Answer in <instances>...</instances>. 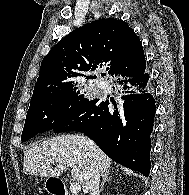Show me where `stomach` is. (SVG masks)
Instances as JSON below:
<instances>
[{
  "label": "stomach",
  "mask_w": 189,
  "mask_h": 195,
  "mask_svg": "<svg viewBox=\"0 0 189 195\" xmlns=\"http://www.w3.org/2000/svg\"><path fill=\"white\" fill-rule=\"evenodd\" d=\"M49 183H50V178H48L47 180H46V188L48 189V190H50V185H49Z\"/></svg>",
  "instance_id": "0dacf381"
}]
</instances>
